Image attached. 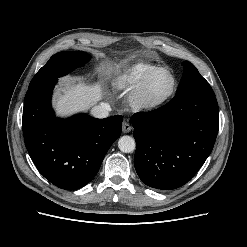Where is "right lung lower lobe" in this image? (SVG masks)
Listing matches in <instances>:
<instances>
[{
  "label": "right lung lower lobe",
  "mask_w": 247,
  "mask_h": 247,
  "mask_svg": "<svg viewBox=\"0 0 247 247\" xmlns=\"http://www.w3.org/2000/svg\"><path fill=\"white\" fill-rule=\"evenodd\" d=\"M57 78L30 86L24 99L22 128L38 171L55 186L76 190L97 174L110 146L121 135L123 117L96 119L80 114L56 119L51 108Z\"/></svg>",
  "instance_id": "1"
}]
</instances>
